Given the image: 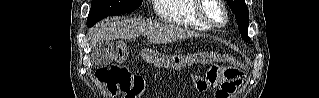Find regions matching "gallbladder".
I'll return each instance as SVG.
<instances>
[{"label":"gallbladder","instance_id":"1","mask_svg":"<svg viewBox=\"0 0 319 98\" xmlns=\"http://www.w3.org/2000/svg\"><path fill=\"white\" fill-rule=\"evenodd\" d=\"M93 62L98 66H104L113 59V48L111 43L99 44L92 51Z\"/></svg>","mask_w":319,"mask_h":98}]
</instances>
